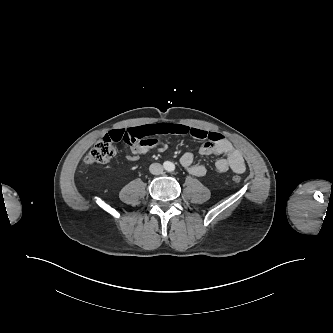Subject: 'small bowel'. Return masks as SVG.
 <instances>
[{
  "label": "small bowel",
  "instance_id": "1",
  "mask_svg": "<svg viewBox=\"0 0 333 333\" xmlns=\"http://www.w3.org/2000/svg\"><path fill=\"white\" fill-rule=\"evenodd\" d=\"M166 134L189 135L203 141V144L199 148L201 155L224 156L215 163L216 170L219 173L233 171L237 174H242L246 170L243 156L223 135L183 124L157 123L116 129L110 131L104 137H109L115 142L123 141L127 143L131 149L130 154L127 155V159L133 161L137 160L139 155L153 148L164 150L165 147L159 143L156 136ZM180 161L187 172L193 176L203 177L207 173L204 165L194 163V155L191 152L184 153Z\"/></svg>",
  "mask_w": 333,
  "mask_h": 333
}]
</instances>
